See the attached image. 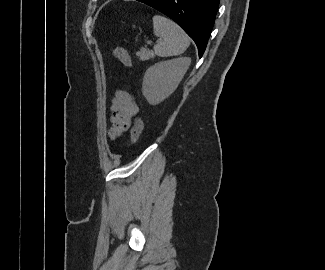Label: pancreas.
Masks as SVG:
<instances>
[{
	"mask_svg": "<svg viewBox=\"0 0 325 270\" xmlns=\"http://www.w3.org/2000/svg\"><path fill=\"white\" fill-rule=\"evenodd\" d=\"M136 55L142 61L153 59L155 57L152 50H148V49H145V48H141L140 51H138L136 53Z\"/></svg>",
	"mask_w": 325,
	"mask_h": 270,
	"instance_id": "cf45deb5",
	"label": "pancreas"
}]
</instances>
